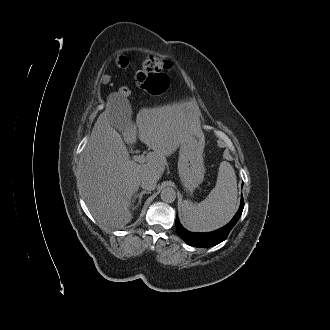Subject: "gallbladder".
I'll return each instance as SVG.
<instances>
[{"label":"gallbladder","mask_w":330,"mask_h":330,"mask_svg":"<svg viewBox=\"0 0 330 330\" xmlns=\"http://www.w3.org/2000/svg\"><path fill=\"white\" fill-rule=\"evenodd\" d=\"M124 106H125V104H122L121 107H119V111H122L121 114L125 113L126 117H128V113L124 112V108H125ZM130 118H131V115H130ZM116 129L120 131V128L118 125H116Z\"/></svg>","instance_id":"gallbladder-1"}]
</instances>
